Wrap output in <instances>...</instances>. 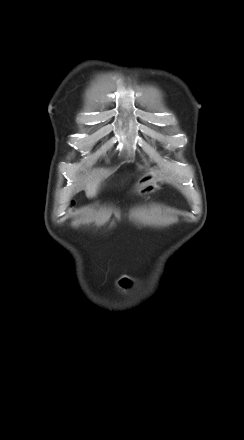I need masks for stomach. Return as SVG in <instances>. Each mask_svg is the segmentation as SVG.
Returning <instances> with one entry per match:
<instances>
[{"instance_id":"obj_1","label":"stomach","mask_w":244,"mask_h":440,"mask_svg":"<svg viewBox=\"0 0 244 440\" xmlns=\"http://www.w3.org/2000/svg\"><path fill=\"white\" fill-rule=\"evenodd\" d=\"M136 187L140 194H147L160 189V182L154 174L148 173L140 177Z\"/></svg>"}]
</instances>
